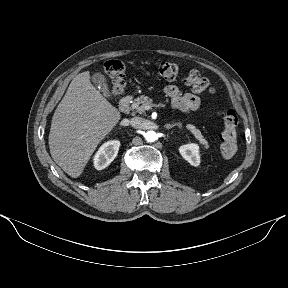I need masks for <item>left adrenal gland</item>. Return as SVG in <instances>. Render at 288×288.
<instances>
[{
  "mask_svg": "<svg viewBox=\"0 0 288 288\" xmlns=\"http://www.w3.org/2000/svg\"><path fill=\"white\" fill-rule=\"evenodd\" d=\"M176 126H177L178 128H181V124H180V123L166 124V125H165V128L171 129V128L176 127Z\"/></svg>",
  "mask_w": 288,
  "mask_h": 288,
  "instance_id": "left-adrenal-gland-1",
  "label": "left adrenal gland"
}]
</instances>
